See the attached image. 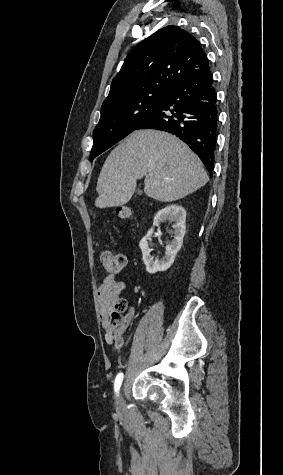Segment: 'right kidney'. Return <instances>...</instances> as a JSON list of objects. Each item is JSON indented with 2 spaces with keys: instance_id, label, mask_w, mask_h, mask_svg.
Segmentation results:
<instances>
[{
  "instance_id": "1",
  "label": "right kidney",
  "mask_w": 283,
  "mask_h": 475,
  "mask_svg": "<svg viewBox=\"0 0 283 475\" xmlns=\"http://www.w3.org/2000/svg\"><path fill=\"white\" fill-rule=\"evenodd\" d=\"M165 220H169V222H174V236L172 241L166 245V253L164 257L161 259H153V255H150L151 249H149V241L153 234V228L147 232L146 236L141 239L139 245L142 251V259L146 265V271L148 273H156V271H166L170 265H172L177 251L181 249V245L183 243V238L185 236V220H186V212L182 206H178V204H171L168 208H163L160 210L158 214H156L154 218L153 226H160L161 222H165Z\"/></svg>"
}]
</instances>
